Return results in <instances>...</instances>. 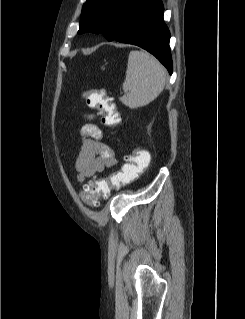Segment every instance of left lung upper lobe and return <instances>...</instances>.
I'll return each instance as SVG.
<instances>
[{
	"label": "left lung upper lobe",
	"mask_w": 245,
	"mask_h": 319,
	"mask_svg": "<svg viewBox=\"0 0 245 319\" xmlns=\"http://www.w3.org/2000/svg\"><path fill=\"white\" fill-rule=\"evenodd\" d=\"M147 0H87L82 7L78 34L102 33L112 41L129 16Z\"/></svg>",
	"instance_id": "5c2ea615"
}]
</instances>
